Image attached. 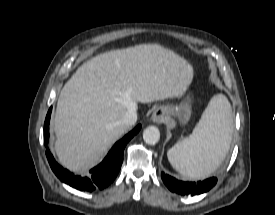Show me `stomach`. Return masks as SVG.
<instances>
[{
    "instance_id": "1",
    "label": "stomach",
    "mask_w": 275,
    "mask_h": 215,
    "mask_svg": "<svg viewBox=\"0 0 275 215\" xmlns=\"http://www.w3.org/2000/svg\"><path fill=\"white\" fill-rule=\"evenodd\" d=\"M171 111L176 114L182 122L187 121L191 114V98L187 97L178 107L172 108Z\"/></svg>"
}]
</instances>
